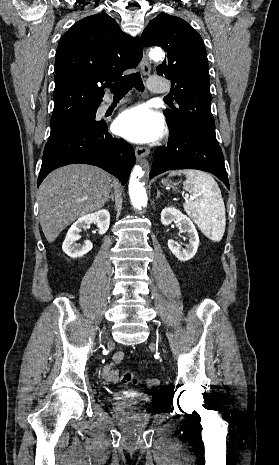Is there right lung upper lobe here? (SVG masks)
<instances>
[{"mask_svg":"<svg viewBox=\"0 0 279 465\" xmlns=\"http://www.w3.org/2000/svg\"><path fill=\"white\" fill-rule=\"evenodd\" d=\"M142 59L138 38L121 31L105 13L75 23L61 38L55 59L51 126L69 121L102 102L103 89Z\"/></svg>","mask_w":279,"mask_h":465,"instance_id":"right-lung-upper-lobe-1","label":"right lung upper lobe"}]
</instances>
